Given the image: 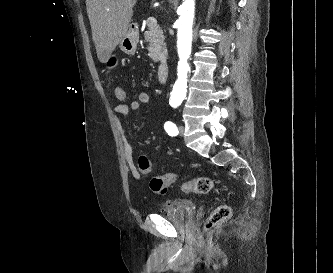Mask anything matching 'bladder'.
I'll use <instances>...</instances> for the list:
<instances>
[{
    "label": "bladder",
    "instance_id": "obj_1",
    "mask_svg": "<svg viewBox=\"0 0 333 273\" xmlns=\"http://www.w3.org/2000/svg\"><path fill=\"white\" fill-rule=\"evenodd\" d=\"M195 213V205L187 199L174 200L162 209V215L177 227L191 226Z\"/></svg>",
    "mask_w": 333,
    "mask_h": 273
}]
</instances>
